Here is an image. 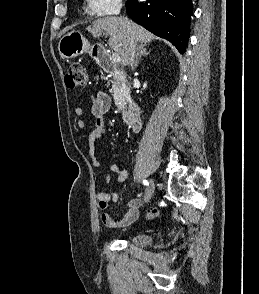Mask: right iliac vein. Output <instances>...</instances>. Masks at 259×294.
Wrapping results in <instances>:
<instances>
[{
  "mask_svg": "<svg viewBox=\"0 0 259 294\" xmlns=\"http://www.w3.org/2000/svg\"><path fill=\"white\" fill-rule=\"evenodd\" d=\"M154 190H155V185H154V181L153 179L150 180V183L146 189V194L144 197V202L148 203L150 201V199L152 198L153 194H154Z\"/></svg>",
  "mask_w": 259,
  "mask_h": 294,
  "instance_id": "right-iliac-vein-1",
  "label": "right iliac vein"
}]
</instances>
